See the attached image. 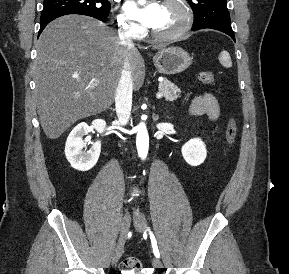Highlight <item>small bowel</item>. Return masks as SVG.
Returning <instances> with one entry per match:
<instances>
[{"mask_svg":"<svg viewBox=\"0 0 289 274\" xmlns=\"http://www.w3.org/2000/svg\"><path fill=\"white\" fill-rule=\"evenodd\" d=\"M190 113L193 116L206 115L211 120L219 117V104L211 93H203L195 96L190 105Z\"/></svg>","mask_w":289,"mask_h":274,"instance_id":"obj_1","label":"small bowel"}]
</instances>
